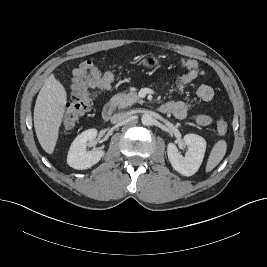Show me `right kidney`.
Masks as SVG:
<instances>
[{"instance_id":"obj_1","label":"right kidney","mask_w":267,"mask_h":267,"mask_svg":"<svg viewBox=\"0 0 267 267\" xmlns=\"http://www.w3.org/2000/svg\"><path fill=\"white\" fill-rule=\"evenodd\" d=\"M98 131L88 129L79 134L72 142L67 155V163L70 167L84 170L92 167L104 156L103 150L87 151L86 146L89 141L96 138Z\"/></svg>"}]
</instances>
